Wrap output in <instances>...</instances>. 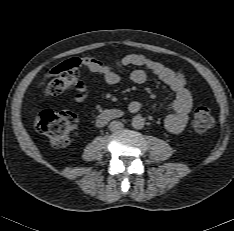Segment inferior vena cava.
<instances>
[{
	"mask_svg": "<svg viewBox=\"0 0 234 231\" xmlns=\"http://www.w3.org/2000/svg\"><path fill=\"white\" fill-rule=\"evenodd\" d=\"M123 127H124L123 123L120 121H116V120L112 121L109 125V129L111 131H119V130L123 129Z\"/></svg>",
	"mask_w": 234,
	"mask_h": 231,
	"instance_id": "inferior-vena-cava-1",
	"label": "inferior vena cava"
}]
</instances>
